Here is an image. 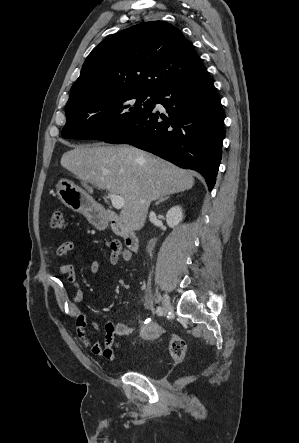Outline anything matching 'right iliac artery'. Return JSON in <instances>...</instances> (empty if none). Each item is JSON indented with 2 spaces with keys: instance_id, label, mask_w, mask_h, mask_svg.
I'll return each instance as SVG.
<instances>
[{
  "instance_id": "right-iliac-artery-1",
  "label": "right iliac artery",
  "mask_w": 299,
  "mask_h": 443,
  "mask_svg": "<svg viewBox=\"0 0 299 443\" xmlns=\"http://www.w3.org/2000/svg\"><path fill=\"white\" fill-rule=\"evenodd\" d=\"M156 313H157L158 315H160V316L163 314V310H162V308H161L160 306L157 307V309H156Z\"/></svg>"
}]
</instances>
